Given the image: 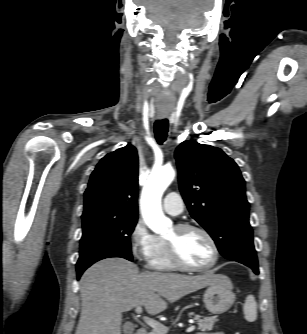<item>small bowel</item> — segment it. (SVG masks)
<instances>
[{
	"instance_id": "1",
	"label": "small bowel",
	"mask_w": 307,
	"mask_h": 334,
	"mask_svg": "<svg viewBox=\"0 0 307 334\" xmlns=\"http://www.w3.org/2000/svg\"><path fill=\"white\" fill-rule=\"evenodd\" d=\"M204 334H223L222 332H215V333H204Z\"/></svg>"
}]
</instances>
